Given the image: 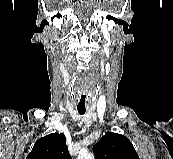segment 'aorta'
Returning a JSON list of instances; mask_svg holds the SVG:
<instances>
[{"label":"aorta","instance_id":"obj_1","mask_svg":"<svg viewBox=\"0 0 173 159\" xmlns=\"http://www.w3.org/2000/svg\"><path fill=\"white\" fill-rule=\"evenodd\" d=\"M77 159H94V156L88 151L82 150L79 152Z\"/></svg>","mask_w":173,"mask_h":159}]
</instances>
